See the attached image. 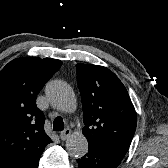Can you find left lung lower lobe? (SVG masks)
Returning a JSON list of instances; mask_svg holds the SVG:
<instances>
[{"label": "left lung lower lobe", "mask_w": 168, "mask_h": 168, "mask_svg": "<svg viewBox=\"0 0 168 168\" xmlns=\"http://www.w3.org/2000/svg\"><path fill=\"white\" fill-rule=\"evenodd\" d=\"M121 160L105 150L89 145L88 153L77 159V162L79 168H117Z\"/></svg>", "instance_id": "1"}]
</instances>
